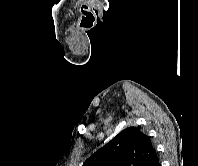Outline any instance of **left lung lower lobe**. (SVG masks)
I'll return each instance as SVG.
<instances>
[{
	"mask_svg": "<svg viewBox=\"0 0 198 166\" xmlns=\"http://www.w3.org/2000/svg\"><path fill=\"white\" fill-rule=\"evenodd\" d=\"M151 166H161L160 161L158 159V156L155 158V160L153 161V163L151 164Z\"/></svg>",
	"mask_w": 198,
	"mask_h": 166,
	"instance_id": "left-lung-lower-lobe-1",
	"label": "left lung lower lobe"
}]
</instances>
